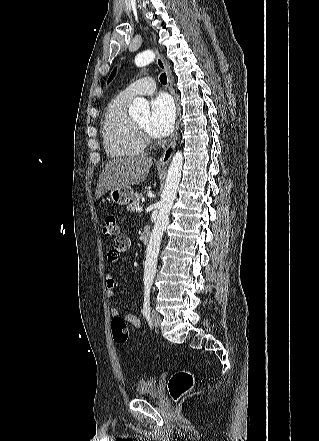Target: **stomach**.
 I'll list each match as a JSON object with an SVG mask.
<instances>
[{
  "label": "stomach",
  "instance_id": "1",
  "mask_svg": "<svg viewBox=\"0 0 319 441\" xmlns=\"http://www.w3.org/2000/svg\"><path fill=\"white\" fill-rule=\"evenodd\" d=\"M134 191L132 187L125 186L110 190L109 200L118 205H127L133 199Z\"/></svg>",
  "mask_w": 319,
  "mask_h": 441
}]
</instances>
